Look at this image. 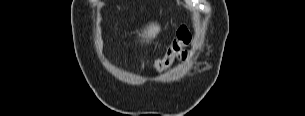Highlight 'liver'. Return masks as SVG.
<instances>
[{
    "instance_id": "liver-1",
    "label": "liver",
    "mask_w": 305,
    "mask_h": 116,
    "mask_svg": "<svg viewBox=\"0 0 305 116\" xmlns=\"http://www.w3.org/2000/svg\"><path fill=\"white\" fill-rule=\"evenodd\" d=\"M160 32V26L156 23H151L147 28H145L142 32V38L147 40V42L151 39H154L157 34ZM96 49L100 53L102 50V41L96 42Z\"/></svg>"
}]
</instances>
